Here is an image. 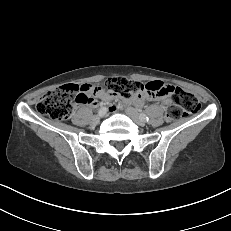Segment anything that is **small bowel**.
<instances>
[{"instance_id": "c3829d8e", "label": "small bowel", "mask_w": 231, "mask_h": 231, "mask_svg": "<svg viewBox=\"0 0 231 231\" xmlns=\"http://www.w3.org/2000/svg\"><path fill=\"white\" fill-rule=\"evenodd\" d=\"M171 85L166 84V87L163 90H167ZM81 91L86 96V101L84 103L79 104H87L90 106H96L99 101L102 102H109L117 98V96L111 92L106 91L104 88L100 86H92L88 84H84L80 87ZM170 93H159V94H152L151 92L144 90L139 95L135 96L132 99H126L124 103H133L134 105L140 107L143 105L145 101H160L163 103H167L169 101ZM115 107H111L110 110L113 112L115 111Z\"/></svg>"}]
</instances>
